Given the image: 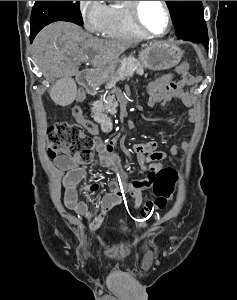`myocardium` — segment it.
I'll list each match as a JSON object with an SVG mask.
<instances>
[{
  "label": "myocardium",
  "mask_w": 237,
  "mask_h": 300,
  "mask_svg": "<svg viewBox=\"0 0 237 300\" xmlns=\"http://www.w3.org/2000/svg\"><path fill=\"white\" fill-rule=\"evenodd\" d=\"M160 2L164 8L166 20H167L166 29L161 34H156L152 31H150L143 24L142 19H141V8H142L144 1H131V5H130L132 19H133L135 25L138 27V29L141 32H143L144 34L152 36V37H156V38H164L165 36H167L169 34V32L172 28V15H171V10H170L169 4L167 1H160Z\"/></svg>",
  "instance_id": "f54148a6"
}]
</instances>
